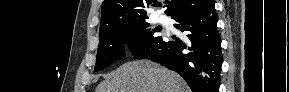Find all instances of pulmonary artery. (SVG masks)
Instances as JSON below:
<instances>
[{
    "instance_id": "1",
    "label": "pulmonary artery",
    "mask_w": 289,
    "mask_h": 92,
    "mask_svg": "<svg viewBox=\"0 0 289 92\" xmlns=\"http://www.w3.org/2000/svg\"><path fill=\"white\" fill-rule=\"evenodd\" d=\"M159 22L164 23L166 21L164 16H159L158 18Z\"/></svg>"
}]
</instances>
